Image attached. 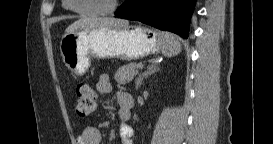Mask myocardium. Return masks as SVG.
Listing matches in <instances>:
<instances>
[{
  "label": "myocardium",
  "instance_id": "obj_1",
  "mask_svg": "<svg viewBox=\"0 0 273 144\" xmlns=\"http://www.w3.org/2000/svg\"><path fill=\"white\" fill-rule=\"evenodd\" d=\"M75 0H68L69 8L80 15L99 16L114 13L119 5V0H113L110 5L101 10H81L76 8L74 4Z\"/></svg>",
  "mask_w": 273,
  "mask_h": 144
}]
</instances>
